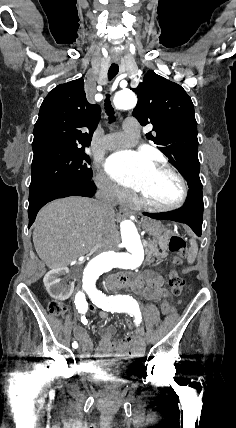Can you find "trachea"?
Listing matches in <instances>:
<instances>
[{
    "mask_svg": "<svg viewBox=\"0 0 236 428\" xmlns=\"http://www.w3.org/2000/svg\"><path fill=\"white\" fill-rule=\"evenodd\" d=\"M118 71H119V67H118L117 63H112L111 67L108 70L109 80H112V78H114L117 75ZM109 97H110V95L107 94L106 100H105V109H106V113H107L109 119L113 120L114 119V111H113V108L111 106V102H110Z\"/></svg>",
    "mask_w": 236,
    "mask_h": 428,
    "instance_id": "trachea-1",
    "label": "trachea"
}]
</instances>
